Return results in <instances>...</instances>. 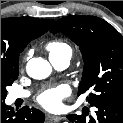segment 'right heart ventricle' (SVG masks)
Segmentation results:
<instances>
[{
	"mask_svg": "<svg viewBox=\"0 0 123 123\" xmlns=\"http://www.w3.org/2000/svg\"><path fill=\"white\" fill-rule=\"evenodd\" d=\"M47 51L49 52V56L53 58H59L62 56H70L72 54L71 47L60 40H54L47 44Z\"/></svg>",
	"mask_w": 123,
	"mask_h": 123,
	"instance_id": "1",
	"label": "right heart ventricle"
}]
</instances>
